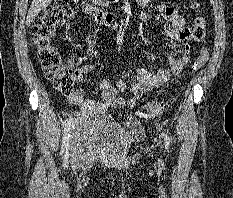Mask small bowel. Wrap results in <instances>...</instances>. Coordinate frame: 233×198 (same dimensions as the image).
Here are the masks:
<instances>
[{
    "label": "small bowel",
    "instance_id": "c3829d8e",
    "mask_svg": "<svg viewBox=\"0 0 233 198\" xmlns=\"http://www.w3.org/2000/svg\"><path fill=\"white\" fill-rule=\"evenodd\" d=\"M149 1L150 0H137L141 7L140 16L143 21L148 19L146 7ZM161 15L168 23V27L163 34L182 46L181 55L179 57H176L171 53L167 55V62L169 65L167 69H161L156 73L140 69L137 72L136 81L130 86H127L122 79H116L113 82L110 80H103L100 83V92L104 99L103 102H97L90 98H86L81 90H77L66 96L69 103L81 107L85 111L96 110L100 113L107 111L110 107H132L145 93L163 86L172 75L179 74L183 67L188 63V43L192 39V29L186 24L182 15L170 5H163L161 7ZM94 44V37H87V52L89 56L94 58V61L80 66L79 72L82 75L91 73L98 62ZM75 62L77 64L81 63L79 59ZM127 91L130 95L127 98L122 97L121 94Z\"/></svg>",
    "mask_w": 233,
    "mask_h": 198
}]
</instances>
